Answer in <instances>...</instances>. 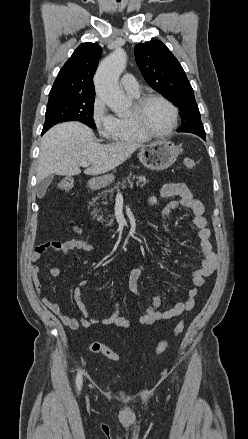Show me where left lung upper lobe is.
<instances>
[{
	"label": "left lung upper lobe",
	"instance_id": "1",
	"mask_svg": "<svg viewBox=\"0 0 248 439\" xmlns=\"http://www.w3.org/2000/svg\"><path fill=\"white\" fill-rule=\"evenodd\" d=\"M135 55L146 82L178 106L182 124L177 131L193 133L206 139L193 89L171 51L161 41L153 40L137 44Z\"/></svg>",
	"mask_w": 248,
	"mask_h": 439
}]
</instances>
